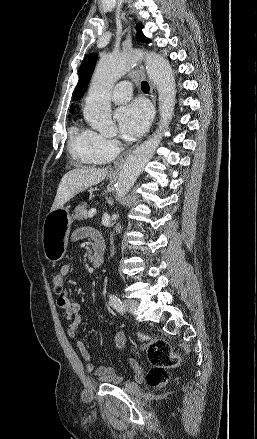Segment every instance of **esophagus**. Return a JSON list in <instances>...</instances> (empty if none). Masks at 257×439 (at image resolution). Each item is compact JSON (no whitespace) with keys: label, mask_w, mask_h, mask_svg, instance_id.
Listing matches in <instances>:
<instances>
[{"label":"esophagus","mask_w":257,"mask_h":439,"mask_svg":"<svg viewBox=\"0 0 257 439\" xmlns=\"http://www.w3.org/2000/svg\"><path fill=\"white\" fill-rule=\"evenodd\" d=\"M150 85V96L152 99L153 104H156V88L155 85L149 80ZM133 148L127 150L125 153H123L118 159L114 162V167L119 168L122 166L128 155L132 152Z\"/></svg>","instance_id":"1"}]
</instances>
